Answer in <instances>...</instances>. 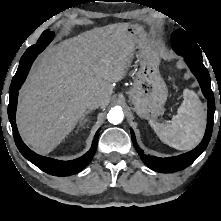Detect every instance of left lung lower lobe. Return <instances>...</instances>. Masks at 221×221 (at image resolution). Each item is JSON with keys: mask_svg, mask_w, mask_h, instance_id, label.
Segmentation results:
<instances>
[{"mask_svg": "<svg viewBox=\"0 0 221 221\" xmlns=\"http://www.w3.org/2000/svg\"><path fill=\"white\" fill-rule=\"evenodd\" d=\"M183 57L185 58V61L188 64L189 68L191 69L192 73L196 76L201 86L202 92L208 100L207 128L202 142L195 149H193L188 153L169 158H158L144 154L143 150H141L138 147L134 132L131 129L132 141L138 154L141 156L143 162L149 168L157 172H162V173L175 172L183 170L189 165H191L206 149L212 134L215 103H214V95L210 86L209 73L205 68V66L202 64V62L193 60L185 56Z\"/></svg>", "mask_w": 221, "mask_h": 221, "instance_id": "left-lung-lower-lobe-1", "label": "left lung lower lobe"}]
</instances>
